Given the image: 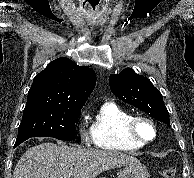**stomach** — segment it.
I'll return each mask as SVG.
<instances>
[{"instance_id":"stomach-1","label":"stomach","mask_w":194,"mask_h":178,"mask_svg":"<svg viewBox=\"0 0 194 178\" xmlns=\"http://www.w3.org/2000/svg\"><path fill=\"white\" fill-rule=\"evenodd\" d=\"M149 176L147 167L140 162L126 165L118 174V178H149Z\"/></svg>"}]
</instances>
